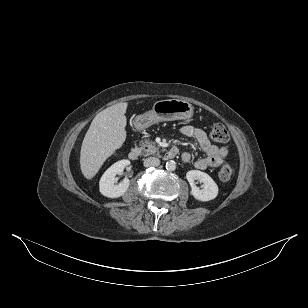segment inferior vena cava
I'll return each instance as SVG.
<instances>
[{"mask_svg": "<svg viewBox=\"0 0 308 308\" xmlns=\"http://www.w3.org/2000/svg\"><path fill=\"white\" fill-rule=\"evenodd\" d=\"M160 164V160L156 157H148L144 160L145 167H157Z\"/></svg>", "mask_w": 308, "mask_h": 308, "instance_id": "1", "label": "inferior vena cava"}]
</instances>
